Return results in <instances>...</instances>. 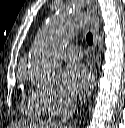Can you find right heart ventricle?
Wrapping results in <instances>:
<instances>
[{"label":"right heart ventricle","mask_w":125,"mask_h":128,"mask_svg":"<svg viewBox=\"0 0 125 128\" xmlns=\"http://www.w3.org/2000/svg\"><path fill=\"white\" fill-rule=\"evenodd\" d=\"M21 109L23 113L29 116L45 117L48 115V111L35 96L34 91L22 98Z\"/></svg>","instance_id":"1"}]
</instances>
